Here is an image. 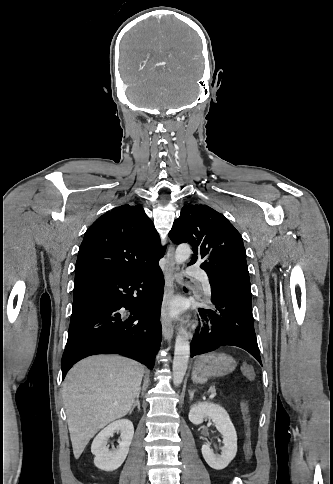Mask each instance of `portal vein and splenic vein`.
I'll return each mask as SVG.
<instances>
[{
	"label": "portal vein and splenic vein",
	"instance_id": "obj_1",
	"mask_svg": "<svg viewBox=\"0 0 333 484\" xmlns=\"http://www.w3.org/2000/svg\"><path fill=\"white\" fill-rule=\"evenodd\" d=\"M212 392H213V393H212L211 395H212V396H215V395H216V390H215V389H213V390H212Z\"/></svg>",
	"mask_w": 333,
	"mask_h": 484
}]
</instances>
